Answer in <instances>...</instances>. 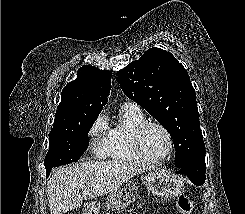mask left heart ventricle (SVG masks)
<instances>
[{
	"label": "left heart ventricle",
	"mask_w": 245,
	"mask_h": 214,
	"mask_svg": "<svg viewBox=\"0 0 245 214\" xmlns=\"http://www.w3.org/2000/svg\"><path fill=\"white\" fill-rule=\"evenodd\" d=\"M142 149L149 159L162 157L168 149L166 135L156 127L148 128L142 136Z\"/></svg>",
	"instance_id": "1"
}]
</instances>
